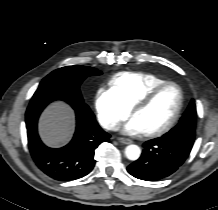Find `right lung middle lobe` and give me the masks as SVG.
<instances>
[{
    "label": "right lung middle lobe",
    "instance_id": "dd1d6c3e",
    "mask_svg": "<svg viewBox=\"0 0 218 210\" xmlns=\"http://www.w3.org/2000/svg\"><path fill=\"white\" fill-rule=\"evenodd\" d=\"M100 74L99 70L87 66L59 68L41 81L33 97L45 95L83 101L79 90L80 84L86 77Z\"/></svg>",
    "mask_w": 218,
    "mask_h": 210
}]
</instances>
